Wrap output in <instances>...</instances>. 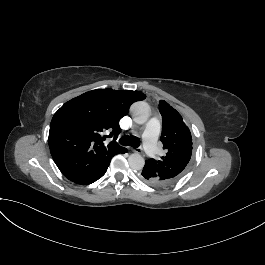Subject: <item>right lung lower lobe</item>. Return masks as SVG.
I'll return each instance as SVG.
<instances>
[{"label": "right lung lower lobe", "mask_w": 265, "mask_h": 265, "mask_svg": "<svg viewBox=\"0 0 265 265\" xmlns=\"http://www.w3.org/2000/svg\"><path fill=\"white\" fill-rule=\"evenodd\" d=\"M126 151H127V150H126V149H124L122 153H125ZM105 173H106V172H105Z\"/></svg>", "instance_id": "obj_1"}]
</instances>
